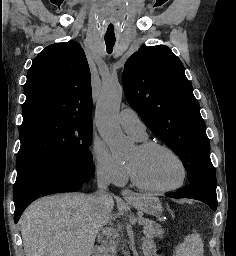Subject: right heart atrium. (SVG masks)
Returning a JSON list of instances; mask_svg holds the SVG:
<instances>
[{"label": "right heart atrium", "mask_w": 236, "mask_h": 256, "mask_svg": "<svg viewBox=\"0 0 236 256\" xmlns=\"http://www.w3.org/2000/svg\"><path fill=\"white\" fill-rule=\"evenodd\" d=\"M92 157L99 178L118 187H122L128 182L129 170L127 165L118 162L105 144L95 140L92 147Z\"/></svg>", "instance_id": "1"}]
</instances>
